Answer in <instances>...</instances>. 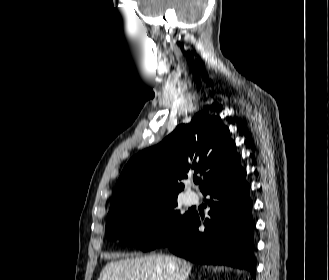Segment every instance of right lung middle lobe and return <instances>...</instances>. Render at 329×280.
<instances>
[{
  "instance_id": "obj_1",
  "label": "right lung middle lobe",
  "mask_w": 329,
  "mask_h": 280,
  "mask_svg": "<svg viewBox=\"0 0 329 280\" xmlns=\"http://www.w3.org/2000/svg\"><path fill=\"white\" fill-rule=\"evenodd\" d=\"M176 207L177 197L137 199L108 213L106 236L144 251L164 246L185 228L193 215L181 214Z\"/></svg>"
}]
</instances>
